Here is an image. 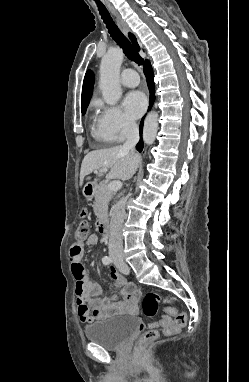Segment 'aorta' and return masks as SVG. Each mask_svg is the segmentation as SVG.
Here are the masks:
<instances>
[{
	"label": "aorta",
	"mask_w": 249,
	"mask_h": 382,
	"mask_svg": "<svg viewBox=\"0 0 249 382\" xmlns=\"http://www.w3.org/2000/svg\"><path fill=\"white\" fill-rule=\"evenodd\" d=\"M124 53L121 48H111L103 56L100 64L99 87L104 101L109 105H115L122 96L119 83V72ZM158 131V113L150 112L143 127V141L147 145L153 144Z\"/></svg>",
	"instance_id": "aorta-1"
}]
</instances>
